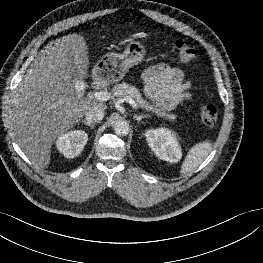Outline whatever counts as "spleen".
Listing matches in <instances>:
<instances>
[{
	"label": "spleen",
	"instance_id": "obj_1",
	"mask_svg": "<svg viewBox=\"0 0 263 263\" xmlns=\"http://www.w3.org/2000/svg\"><path fill=\"white\" fill-rule=\"evenodd\" d=\"M211 149H212V144L208 141L195 144L188 151L182 163L180 172L182 174H186L195 170L208 156Z\"/></svg>",
	"mask_w": 263,
	"mask_h": 263
}]
</instances>
